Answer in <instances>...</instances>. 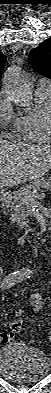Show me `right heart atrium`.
Instances as JSON below:
<instances>
[{
  "label": "right heart atrium",
  "instance_id": "1",
  "mask_svg": "<svg viewBox=\"0 0 51 393\" xmlns=\"http://www.w3.org/2000/svg\"><path fill=\"white\" fill-rule=\"evenodd\" d=\"M19 117L13 112L9 102L3 100L0 103V125L2 128H18Z\"/></svg>",
  "mask_w": 51,
  "mask_h": 393
}]
</instances>
